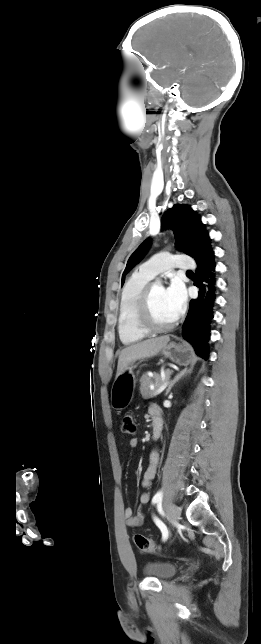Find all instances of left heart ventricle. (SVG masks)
<instances>
[{"label":"left heart ventricle","instance_id":"b2bd125f","mask_svg":"<svg viewBox=\"0 0 261 644\" xmlns=\"http://www.w3.org/2000/svg\"><path fill=\"white\" fill-rule=\"evenodd\" d=\"M150 309L152 319L158 325L169 324L175 319L165 299L164 288L160 285L152 287Z\"/></svg>","mask_w":261,"mask_h":644}]
</instances>
